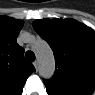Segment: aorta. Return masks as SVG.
I'll return each instance as SVG.
<instances>
[{
  "instance_id": "aorta-1",
  "label": "aorta",
  "mask_w": 95,
  "mask_h": 95,
  "mask_svg": "<svg viewBox=\"0 0 95 95\" xmlns=\"http://www.w3.org/2000/svg\"><path fill=\"white\" fill-rule=\"evenodd\" d=\"M32 48L37 58V68L40 76L49 79L55 71V59L53 51L44 40H37L32 44Z\"/></svg>"
}]
</instances>
